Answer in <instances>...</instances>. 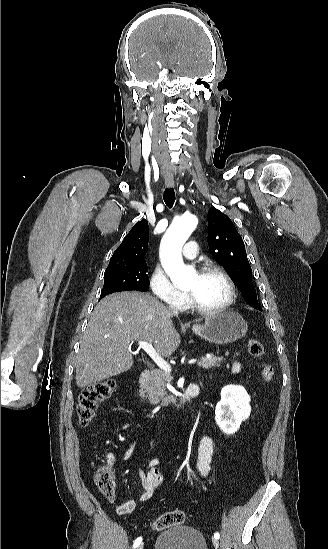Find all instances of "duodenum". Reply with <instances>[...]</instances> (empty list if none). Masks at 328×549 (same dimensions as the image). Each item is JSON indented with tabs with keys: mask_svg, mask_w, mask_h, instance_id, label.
<instances>
[{
	"mask_svg": "<svg viewBox=\"0 0 328 549\" xmlns=\"http://www.w3.org/2000/svg\"><path fill=\"white\" fill-rule=\"evenodd\" d=\"M150 374H151V372H150L149 369L143 370L140 374V377H139V380H138L137 392H138V397L140 398L141 401L145 400V390H146V387H147V384H148V381H149V378H150ZM199 392H200L199 384L191 383L190 385H188V387L183 392L181 397L176 402H174L170 406V408L174 409V410L182 408L190 400L195 398L199 394Z\"/></svg>",
	"mask_w": 328,
	"mask_h": 549,
	"instance_id": "obj_1",
	"label": "duodenum"
}]
</instances>
